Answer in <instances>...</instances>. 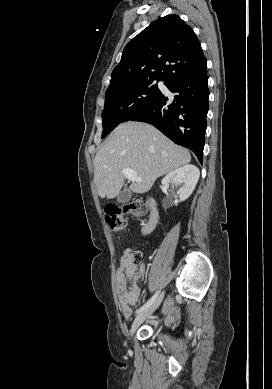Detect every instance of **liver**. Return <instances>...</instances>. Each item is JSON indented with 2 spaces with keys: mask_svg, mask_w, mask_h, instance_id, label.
<instances>
[{
  "mask_svg": "<svg viewBox=\"0 0 272 389\" xmlns=\"http://www.w3.org/2000/svg\"><path fill=\"white\" fill-rule=\"evenodd\" d=\"M191 161V155L155 127L125 122L112 132L94 159V182L101 198L116 197L123 184V169L134 170L141 182H133L135 193L149 191L157 178Z\"/></svg>",
  "mask_w": 272,
  "mask_h": 389,
  "instance_id": "6515ba94",
  "label": "liver"
}]
</instances>
